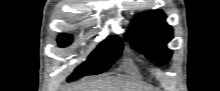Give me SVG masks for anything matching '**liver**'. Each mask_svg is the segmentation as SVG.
Wrapping results in <instances>:
<instances>
[{
  "mask_svg": "<svg viewBox=\"0 0 220 91\" xmlns=\"http://www.w3.org/2000/svg\"><path fill=\"white\" fill-rule=\"evenodd\" d=\"M72 91H150V89L120 77H100L88 80Z\"/></svg>",
  "mask_w": 220,
  "mask_h": 91,
  "instance_id": "1",
  "label": "liver"
}]
</instances>
